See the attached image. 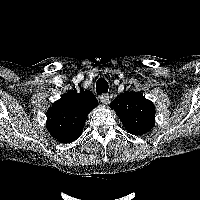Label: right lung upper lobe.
<instances>
[{
    "label": "right lung upper lobe",
    "mask_w": 200,
    "mask_h": 200,
    "mask_svg": "<svg viewBox=\"0 0 200 200\" xmlns=\"http://www.w3.org/2000/svg\"><path fill=\"white\" fill-rule=\"evenodd\" d=\"M97 106L95 96L88 90H71L54 102L48 110L47 128L62 143L76 140L83 131L89 112Z\"/></svg>",
    "instance_id": "1"
}]
</instances>
